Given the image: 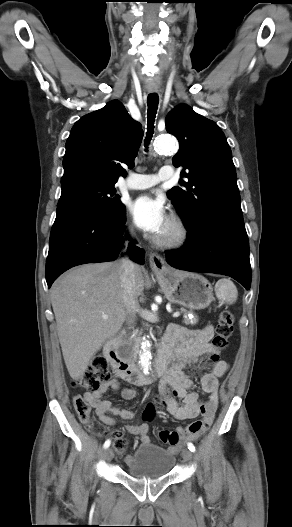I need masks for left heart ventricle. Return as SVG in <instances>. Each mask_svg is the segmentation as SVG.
<instances>
[{
	"mask_svg": "<svg viewBox=\"0 0 292 527\" xmlns=\"http://www.w3.org/2000/svg\"><path fill=\"white\" fill-rule=\"evenodd\" d=\"M169 231V225L166 226V228L163 230V232L160 235L166 234Z\"/></svg>",
	"mask_w": 292,
	"mask_h": 527,
	"instance_id": "obj_1",
	"label": "left heart ventricle"
}]
</instances>
